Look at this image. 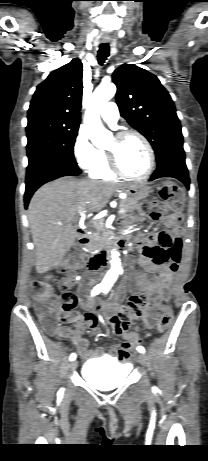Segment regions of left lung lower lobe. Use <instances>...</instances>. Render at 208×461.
Returning <instances> with one entry per match:
<instances>
[{
  "label": "left lung lower lobe",
  "mask_w": 208,
  "mask_h": 461,
  "mask_svg": "<svg viewBox=\"0 0 208 461\" xmlns=\"http://www.w3.org/2000/svg\"><path fill=\"white\" fill-rule=\"evenodd\" d=\"M161 177H173L185 184L189 189L190 179L185 164L184 152L172 153L157 164V169L152 174L150 181Z\"/></svg>",
  "instance_id": "0a47b994"
}]
</instances>
